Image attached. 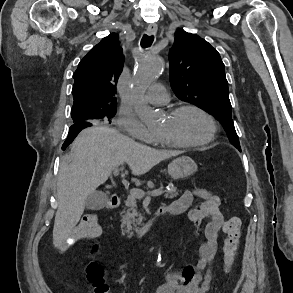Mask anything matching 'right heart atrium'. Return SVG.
Segmentation results:
<instances>
[{"mask_svg": "<svg viewBox=\"0 0 293 293\" xmlns=\"http://www.w3.org/2000/svg\"><path fill=\"white\" fill-rule=\"evenodd\" d=\"M116 125L131 137L143 142L151 143L156 138V136L144 127L131 112L124 109L119 111L116 118Z\"/></svg>", "mask_w": 293, "mask_h": 293, "instance_id": "d8ad5b80", "label": "right heart atrium"}]
</instances>
